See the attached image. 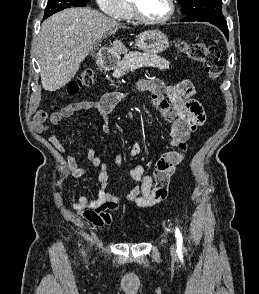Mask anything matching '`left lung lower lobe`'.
<instances>
[{"label": "left lung lower lobe", "instance_id": "left-lung-lower-lobe-1", "mask_svg": "<svg viewBox=\"0 0 259 294\" xmlns=\"http://www.w3.org/2000/svg\"><path fill=\"white\" fill-rule=\"evenodd\" d=\"M183 22H190V21H187L185 19L182 20ZM193 21H202V22H209L215 26H217L226 36V38L228 39V36H229V31H228V26H227V22L224 20V21H212V20H193Z\"/></svg>", "mask_w": 259, "mask_h": 294}]
</instances>
